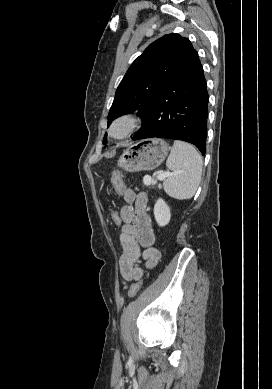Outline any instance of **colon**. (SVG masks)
<instances>
[{"label": "colon", "instance_id": "5ec220e1", "mask_svg": "<svg viewBox=\"0 0 272 389\" xmlns=\"http://www.w3.org/2000/svg\"><path fill=\"white\" fill-rule=\"evenodd\" d=\"M111 182L113 185L114 190L118 193L121 194L124 191V182H123V175L119 170H115L111 174ZM111 220L114 225L120 226L121 225V216L120 212L113 210L111 212ZM142 288V281H138L134 283L129 290V295L130 297L136 296L139 291Z\"/></svg>", "mask_w": 272, "mask_h": 389}]
</instances>
